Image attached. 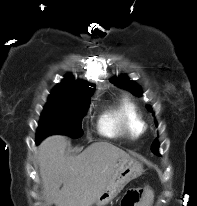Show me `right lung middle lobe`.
I'll use <instances>...</instances> for the list:
<instances>
[{"label": "right lung middle lobe", "instance_id": "right-lung-middle-lobe-1", "mask_svg": "<svg viewBox=\"0 0 197 206\" xmlns=\"http://www.w3.org/2000/svg\"><path fill=\"white\" fill-rule=\"evenodd\" d=\"M51 94L44 107L36 133V142L52 134L68 135L78 138L83 134L82 117L87 111L90 96Z\"/></svg>", "mask_w": 197, "mask_h": 206}]
</instances>
